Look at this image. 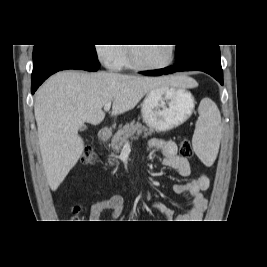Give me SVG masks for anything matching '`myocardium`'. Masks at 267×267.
Here are the masks:
<instances>
[{"label":"myocardium","mask_w":267,"mask_h":267,"mask_svg":"<svg viewBox=\"0 0 267 267\" xmlns=\"http://www.w3.org/2000/svg\"><path fill=\"white\" fill-rule=\"evenodd\" d=\"M169 45V49H170V56L169 59L160 65H146L143 64L141 62H139L134 54L133 51V46H127V51H126V55H127V61L130 64V66H132L133 68H136L138 70H144V71H156V70H161L164 69L168 66H170L175 58V46H173V44H168Z\"/></svg>","instance_id":"obj_1"}]
</instances>
